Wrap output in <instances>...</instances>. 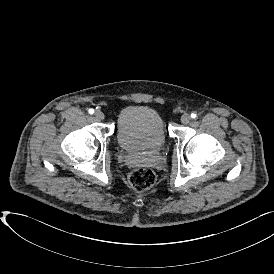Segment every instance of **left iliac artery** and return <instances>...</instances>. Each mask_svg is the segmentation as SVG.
<instances>
[{
  "label": "left iliac artery",
  "instance_id": "left-iliac-artery-1",
  "mask_svg": "<svg viewBox=\"0 0 274 274\" xmlns=\"http://www.w3.org/2000/svg\"><path fill=\"white\" fill-rule=\"evenodd\" d=\"M196 117H197V115H196L195 113H192V114H191V118L194 119V118H196Z\"/></svg>",
  "mask_w": 274,
  "mask_h": 274
}]
</instances>
